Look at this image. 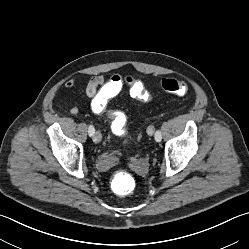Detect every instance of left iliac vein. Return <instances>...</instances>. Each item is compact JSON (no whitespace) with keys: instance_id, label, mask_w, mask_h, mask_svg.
<instances>
[{"instance_id":"1","label":"left iliac vein","mask_w":249,"mask_h":249,"mask_svg":"<svg viewBox=\"0 0 249 249\" xmlns=\"http://www.w3.org/2000/svg\"><path fill=\"white\" fill-rule=\"evenodd\" d=\"M147 133H148V135H153L154 134V127L149 126L148 129H147Z\"/></svg>"}]
</instances>
